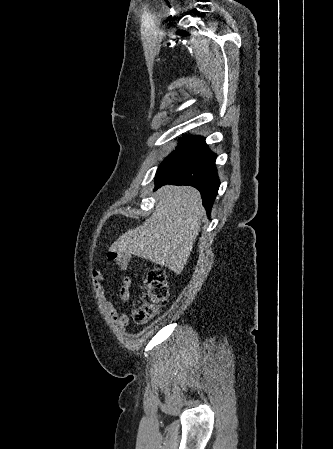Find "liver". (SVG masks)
<instances>
[{"label":"liver","instance_id":"liver-1","mask_svg":"<svg viewBox=\"0 0 333 449\" xmlns=\"http://www.w3.org/2000/svg\"><path fill=\"white\" fill-rule=\"evenodd\" d=\"M152 216L128 230L109 251L134 254L180 274L187 263L205 215L200 193L189 186L161 187Z\"/></svg>","mask_w":333,"mask_h":449}]
</instances>
